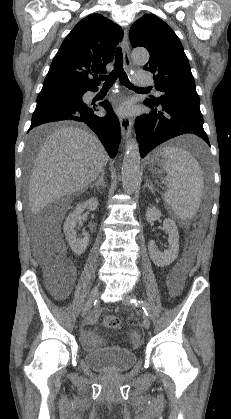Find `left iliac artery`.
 Instances as JSON below:
<instances>
[{"mask_svg":"<svg viewBox=\"0 0 231 419\" xmlns=\"http://www.w3.org/2000/svg\"><path fill=\"white\" fill-rule=\"evenodd\" d=\"M130 303L134 306L141 307L145 313L146 316L150 317L151 315V309L148 303H146L143 300H137V299H131Z\"/></svg>","mask_w":231,"mask_h":419,"instance_id":"left-iliac-artery-1","label":"left iliac artery"}]
</instances>
